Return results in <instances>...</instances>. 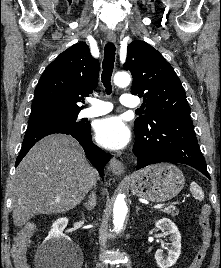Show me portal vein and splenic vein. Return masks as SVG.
<instances>
[{"instance_id": "18ae733b", "label": "portal vein and splenic vein", "mask_w": 221, "mask_h": 268, "mask_svg": "<svg viewBox=\"0 0 221 268\" xmlns=\"http://www.w3.org/2000/svg\"><path fill=\"white\" fill-rule=\"evenodd\" d=\"M163 207H164V204H157L153 206L154 209H161Z\"/></svg>"}]
</instances>
